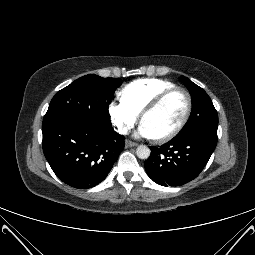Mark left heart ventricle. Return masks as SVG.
Wrapping results in <instances>:
<instances>
[{"mask_svg":"<svg viewBox=\"0 0 255 255\" xmlns=\"http://www.w3.org/2000/svg\"><path fill=\"white\" fill-rule=\"evenodd\" d=\"M187 106L184 93L178 91L167 97L162 104L148 114L143 123L155 137H160L173 130L181 121Z\"/></svg>","mask_w":255,"mask_h":255,"instance_id":"obj_1","label":"left heart ventricle"}]
</instances>
